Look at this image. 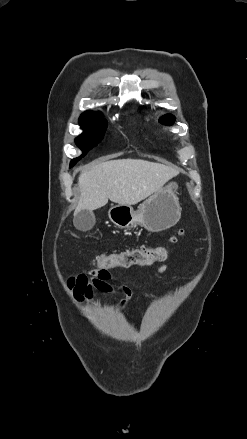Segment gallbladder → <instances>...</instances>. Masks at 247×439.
I'll list each match as a JSON object with an SVG mask.
<instances>
[{
	"mask_svg": "<svg viewBox=\"0 0 247 439\" xmlns=\"http://www.w3.org/2000/svg\"><path fill=\"white\" fill-rule=\"evenodd\" d=\"M73 223L76 229L80 231H88L95 224L94 213L89 210H81L74 216Z\"/></svg>",
	"mask_w": 247,
	"mask_h": 439,
	"instance_id": "gallbladder-1",
	"label": "gallbladder"
}]
</instances>
